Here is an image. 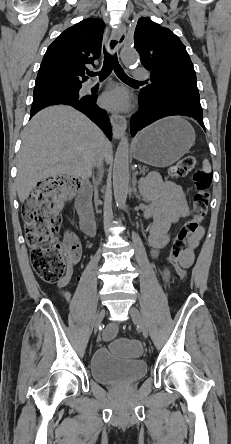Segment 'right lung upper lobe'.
Instances as JSON below:
<instances>
[{
  "label": "right lung upper lobe",
  "instance_id": "right-lung-upper-lobe-1",
  "mask_svg": "<svg viewBox=\"0 0 231 444\" xmlns=\"http://www.w3.org/2000/svg\"><path fill=\"white\" fill-rule=\"evenodd\" d=\"M104 22L84 19L65 30L47 49L34 92L43 93L56 85H81L87 80L86 64L99 58Z\"/></svg>",
  "mask_w": 231,
  "mask_h": 444
}]
</instances>
